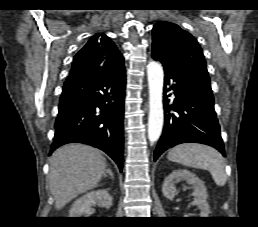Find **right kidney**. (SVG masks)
I'll return each mask as SVG.
<instances>
[{
  "label": "right kidney",
  "instance_id": "ca27d5eb",
  "mask_svg": "<svg viewBox=\"0 0 258 227\" xmlns=\"http://www.w3.org/2000/svg\"><path fill=\"white\" fill-rule=\"evenodd\" d=\"M112 201L113 199L108 193V190L91 191L74 202L70 209L69 217H82L83 215H87L93 210L92 206L96 204L109 209L112 206Z\"/></svg>",
  "mask_w": 258,
  "mask_h": 227
}]
</instances>
